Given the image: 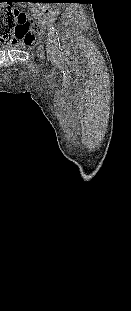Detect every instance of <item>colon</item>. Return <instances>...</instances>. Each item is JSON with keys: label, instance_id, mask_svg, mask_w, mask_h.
Segmentation results:
<instances>
[{"label": "colon", "instance_id": "colon-1", "mask_svg": "<svg viewBox=\"0 0 131 311\" xmlns=\"http://www.w3.org/2000/svg\"><path fill=\"white\" fill-rule=\"evenodd\" d=\"M30 23V20L20 10L0 6V32L3 30V27L7 25L8 38H10V33L15 30L16 27L24 25V27L28 29Z\"/></svg>", "mask_w": 131, "mask_h": 311}]
</instances>
